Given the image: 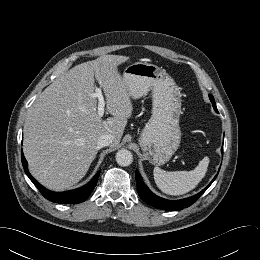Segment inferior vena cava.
<instances>
[{
    "label": "inferior vena cava",
    "instance_id": "1",
    "mask_svg": "<svg viewBox=\"0 0 260 260\" xmlns=\"http://www.w3.org/2000/svg\"><path fill=\"white\" fill-rule=\"evenodd\" d=\"M113 142V135L112 134H103L97 140V146L99 148L105 147L110 145Z\"/></svg>",
    "mask_w": 260,
    "mask_h": 260
}]
</instances>
